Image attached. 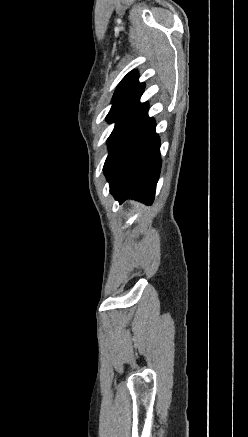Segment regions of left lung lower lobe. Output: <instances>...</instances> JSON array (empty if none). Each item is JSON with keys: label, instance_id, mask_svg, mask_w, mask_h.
<instances>
[{"label": "left lung lower lobe", "instance_id": "obj_1", "mask_svg": "<svg viewBox=\"0 0 248 437\" xmlns=\"http://www.w3.org/2000/svg\"><path fill=\"white\" fill-rule=\"evenodd\" d=\"M148 103L134 111L110 136L103 171L120 203L128 198L151 204L160 174V140Z\"/></svg>", "mask_w": 248, "mask_h": 437}]
</instances>
